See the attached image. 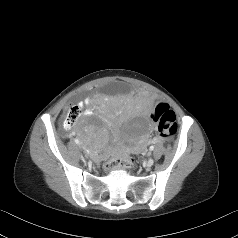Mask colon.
Instances as JSON below:
<instances>
[{"instance_id":"colon-1","label":"colon","mask_w":238,"mask_h":238,"mask_svg":"<svg viewBox=\"0 0 238 238\" xmlns=\"http://www.w3.org/2000/svg\"><path fill=\"white\" fill-rule=\"evenodd\" d=\"M81 114L80 107L70 105L64 117V125L67 128L73 127L81 117ZM151 115L157 125V135L159 139H168L176 133V116L167 103L160 102L156 104ZM132 164L133 159L130 156L115 157L109 160L104 168L107 171H112L119 167H131Z\"/></svg>"}]
</instances>
